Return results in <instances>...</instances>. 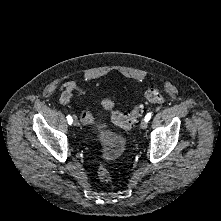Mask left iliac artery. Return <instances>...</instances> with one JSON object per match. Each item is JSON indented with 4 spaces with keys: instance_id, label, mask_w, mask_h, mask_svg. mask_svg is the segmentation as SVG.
Wrapping results in <instances>:
<instances>
[{
    "instance_id": "44dca946",
    "label": "left iliac artery",
    "mask_w": 221,
    "mask_h": 221,
    "mask_svg": "<svg viewBox=\"0 0 221 221\" xmlns=\"http://www.w3.org/2000/svg\"><path fill=\"white\" fill-rule=\"evenodd\" d=\"M151 116H152V113L150 112L145 116L144 120L148 122L151 119Z\"/></svg>"
}]
</instances>
